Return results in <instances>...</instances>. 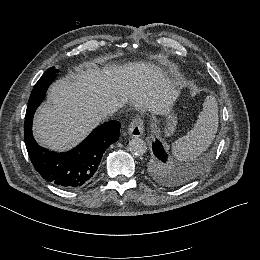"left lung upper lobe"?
<instances>
[{
	"mask_svg": "<svg viewBox=\"0 0 260 260\" xmlns=\"http://www.w3.org/2000/svg\"><path fill=\"white\" fill-rule=\"evenodd\" d=\"M145 169L152 179L165 186L175 187L189 178L188 174L171 166L167 159L157 158L154 153L149 154Z\"/></svg>",
	"mask_w": 260,
	"mask_h": 260,
	"instance_id": "obj_1",
	"label": "left lung upper lobe"
}]
</instances>
